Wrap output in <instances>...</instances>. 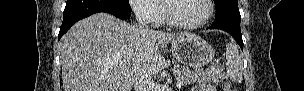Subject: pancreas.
I'll return each mask as SVG.
<instances>
[{"instance_id": "cf45deb5", "label": "pancreas", "mask_w": 304, "mask_h": 91, "mask_svg": "<svg viewBox=\"0 0 304 91\" xmlns=\"http://www.w3.org/2000/svg\"><path fill=\"white\" fill-rule=\"evenodd\" d=\"M173 72L183 86L195 82L219 83L224 78V68L219 64H214L206 70H190L188 67L175 66Z\"/></svg>"}]
</instances>
